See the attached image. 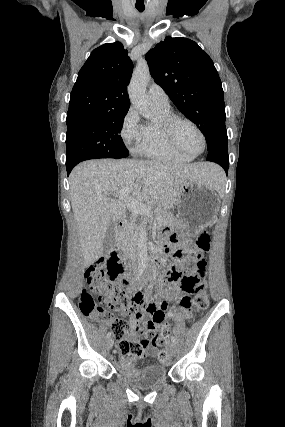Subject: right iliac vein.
<instances>
[{
	"label": "right iliac vein",
	"instance_id": "obj_1",
	"mask_svg": "<svg viewBox=\"0 0 285 427\" xmlns=\"http://www.w3.org/2000/svg\"><path fill=\"white\" fill-rule=\"evenodd\" d=\"M112 346H113V340H112V338H109V339L106 341V348H107L108 350H110V349L112 348Z\"/></svg>",
	"mask_w": 285,
	"mask_h": 427
}]
</instances>
